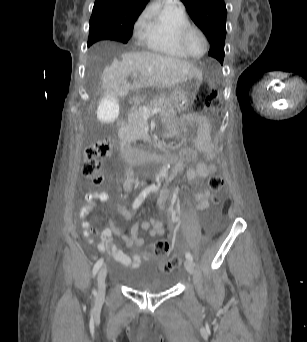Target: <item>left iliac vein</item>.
Masks as SVG:
<instances>
[{
  "instance_id": "4c4485c4",
  "label": "left iliac vein",
  "mask_w": 307,
  "mask_h": 342,
  "mask_svg": "<svg viewBox=\"0 0 307 342\" xmlns=\"http://www.w3.org/2000/svg\"><path fill=\"white\" fill-rule=\"evenodd\" d=\"M184 265H185L187 272L190 274H193L194 269H195L194 264L190 260L187 259L185 260Z\"/></svg>"
}]
</instances>
